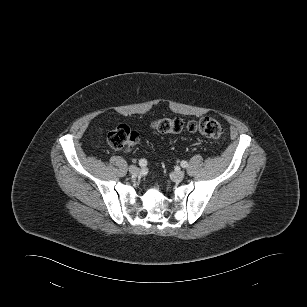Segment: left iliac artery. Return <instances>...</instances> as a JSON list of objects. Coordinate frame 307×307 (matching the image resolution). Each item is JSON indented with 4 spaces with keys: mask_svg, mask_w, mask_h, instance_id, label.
<instances>
[{
    "mask_svg": "<svg viewBox=\"0 0 307 307\" xmlns=\"http://www.w3.org/2000/svg\"><path fill=\"white\" fill-rule=\"evenodd\" d=\"M181 166H182L183 168H187V167H188V163H187L186 161H182V162H181Z\"/></svg>",
    "mask_w": 307,
    "mask_h": 307,
    "instance_id": "1",
    "label": "left iliac artery"
}]
</instances>
